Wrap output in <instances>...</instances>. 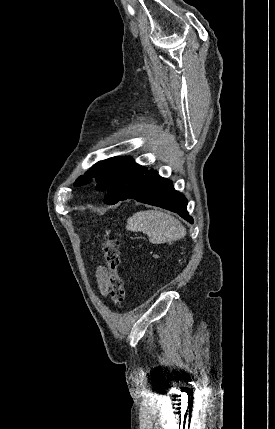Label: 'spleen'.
<instances>
[{
  "mask_svg": "<svg viewBox=\"0 0 275 429\" xmlns=\"http://www.w3.org/2000/svg\"><path fill=\"white\" fill-rule=\"evenodd\" d=\"M127 230L147 234L153 244H163L183 238L185 227L176 218L160 210L135 213L127 221Z\"/></svg>",
  "mask_w": 275,
  "mask_h": 429,
  "instance_id": "1",
  "label": "spleen"
}]
</instances>
